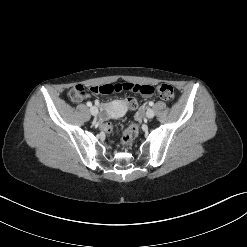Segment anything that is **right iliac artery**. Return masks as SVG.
<instances>
[{
    "label": "right iliac artery",
    "instance_id": "obj_1",
    "mask_svg": "<svg viewBox=\"0 0 247 247\" xmlns=\"http://www.w3.org/2000/svg\"><path fill=\"white\" fill-rule=\"evenodd\" d=\"M88 107H91L92 106V103L91 102H87L86 103Z\"/></svg>",
    "mask_w": 247,
    "mask_h": 247
}]
</instances>
